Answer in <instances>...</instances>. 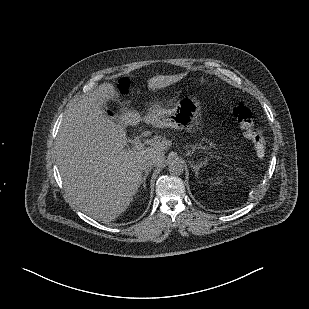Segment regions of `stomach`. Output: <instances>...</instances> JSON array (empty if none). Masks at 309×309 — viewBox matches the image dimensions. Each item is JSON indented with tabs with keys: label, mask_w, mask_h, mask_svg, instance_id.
Returning <instances> with one entry per match:
<instances>
[{
	"label": "stomach",
	"mask_w": 309,
	"mask_h": 309,
	"mask_svg": "<svg viewBox=\"0 0 309 309\" xmlns=\"http://www.w3.org/2000/svg\"><path fill=\"white\" fill-rule=\"evenodd\" d=\"M201 104L195 98L179 99L176 106L162 116L164 126L188 127L194 125L201 116Z\"/></svg>",
	"instance_id": "0dacf381"
}]
</instances>
